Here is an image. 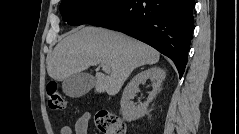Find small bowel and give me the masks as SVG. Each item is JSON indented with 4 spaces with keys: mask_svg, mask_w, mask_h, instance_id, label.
Returning <instances> with one entry per match:
<instances>
[{
    "mask_svg": "<svg viewBox=\"0 0 239 134\" xmlns=\"http://www.w3.org/2000/svg\"><path fill=\"white\" fill-rule=\"evenodd\" d=\"M91 115L89 112H84L81 116L76 120L74 129L70 126H62L60 128V134H88V125L90 121Z\"/></svg>",
    "mask_w": 239,
    "mask_h": 134,
    "instance_id": "c3829d8e",
    "label": "small bowel"
}]
</instances>
